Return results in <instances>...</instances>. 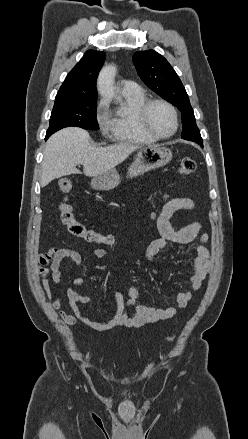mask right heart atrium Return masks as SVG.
<instances>
[{
    "label": "right heart atrium",
    "instance_id": "right-heart-atrium-1",
    "mask_svg": "<svg viewBox=\"0 0 248 439\" xmlns=\"http://www.w3.org/2000/svg\"><path fill=\"white\" fill-rule=\"evenodd\" d=\"M95 118L104 133H108L110 129V113L108 111L107 101L102 99L98 102L95 111Z\"/></svg>",
    "mask_w": 248,
    "mask_h": 439
}]
</instances>
